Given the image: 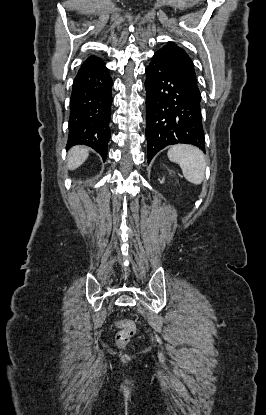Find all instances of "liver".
<instances>
[{
    "label": "liver",
    "mask_w": 266,
    "mask_h": 415,
    "mask_svg": "<svg viewBox=\"0 0 266 415\" xmlns=\"http://www.w3.org/2000/svg\"><path fill=\"white\" fill-rule=\"evenodd\" d=\"M89 149L83 146H75L68 152L67 168L75 170L80 167L88 158Z\"/></svg>",
    "instance_id": "obj_1"
}]
</instances>
